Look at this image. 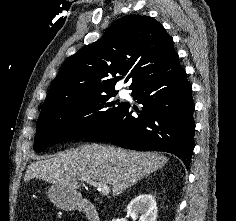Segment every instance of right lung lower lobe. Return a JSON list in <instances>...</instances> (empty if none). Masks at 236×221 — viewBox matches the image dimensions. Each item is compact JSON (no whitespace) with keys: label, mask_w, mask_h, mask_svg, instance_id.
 Listing matches in <instances>:
<instances>
[{"label":"right lung lower lobe","mask_w":236,"mask_h":221,"mask_svg":"<svg viewBox=\"0 0 236 221\" xmlns=\"http://www.w3.org/2000/svg\"><path fill=\"white\" fill-rule=\"evenodd\" d=\"M132 96L142 104L137 118L126 103L99 131L84 141L112 142L139 151H164L179 157L188 168L194 148L195 122L192 87L176 55L155 73L138 81Z\"/></svg>","instance_id":"98d812e1"}]
</instances>
